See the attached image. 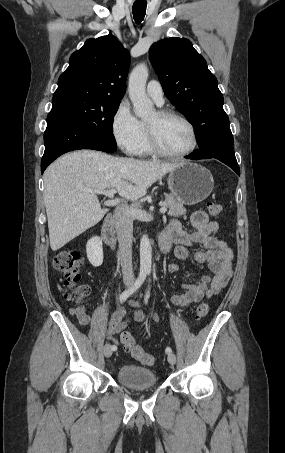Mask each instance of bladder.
Listing matches in <instances>:
<instances>
[{
	"instance_id": "31cf9c89",
	"label": "bladder",
	"mask_w": 285,
	"mask_h": 453,
	"mask_svg": "<svg viewBox=\"0 0 285 453\" xmlns=\"http://www.w3.org/2000/svg\"><path fill=\"white\" fill-rule=\"evenodd\" d=\"M116 378L130 388H151L157 385V376L151 369L125 364L118 368Z\"/></svg>"
}]
</instances>
